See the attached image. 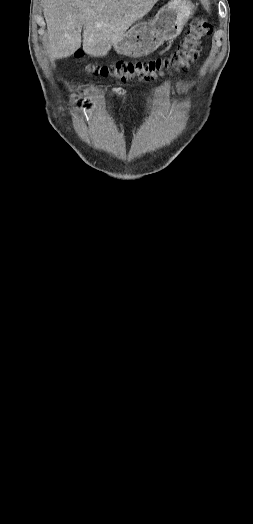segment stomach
Returning a JSON list of instances; mask_svg holds the SVG:
<instances>
[{
	"label": "stomach",
	"instance_id": "stomach-1",
	"mask_svg": "<svg viewBox=\"0 0 253 524\" xmlns=\"http://www.w3.org/2000/svg\"><path fill=\"white\" fill-rule=\"evenodd\" d=\"M189 0H171L153 21H141L114 42V50L124 56L139 58L154 52L164 41L175 39L193 14Z\"/></svg>",
	"mask_w": 253,
	"mask_h": 524
}]
</instances>
